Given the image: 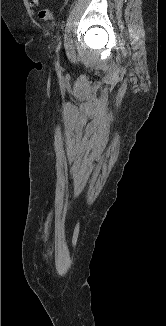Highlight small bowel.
<instances>
[{"label":"small bowel","mask_w":166,"mask_h":326,"mask_svg":"<svg viewBox=\"0 0 166 326\" xmlns=\"http://www.w3.org/2000/svg\"><path fill=\"white\" fill-rule=\"evenodd\" d=\"M31 4L34 8H37L39 6V0H31Z\"/></svg>","instance_id":"1"}]
</instances>
